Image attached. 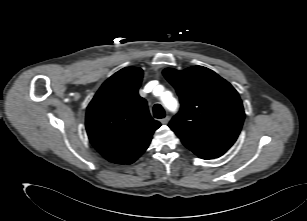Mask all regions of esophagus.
Instances as JSON below:
<instances>
[{
  "label": "esophagus",
  "instance_id": "1",
  "mask_svg": "<svg viewBox=\"0 0 307 221\" xmlns=\"http://www.w3.org/2000/svg\"><path fill=\"white\" fill-rule=\"evenodd\" d=\"M169 120H170V117H169V116H166L165 118L161 119L160 122H161L162 124H167V123L169 122Z\"/></svg>",
  "mask_w": 307,
  "mask_h": 221
}]
</instances>
